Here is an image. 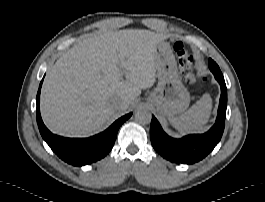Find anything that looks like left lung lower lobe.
Wrapping results in <instances>:
<instances>
[{"instance_id": "left-lung-lower-lobe-1", "label": "left lung lower lobe", "mask_w": 265, "mask_h": 202, "mask_svg": "<svg viewBox=\"0 0 265 202\" xmlns=\"http://www.w3.org/2000/svg\"><path fill=\"white\" fill-rule=\"evenodd\" d=\"M209 68L220 84L221 96L216 122L208 132L174 139L162 130L157 119L152 116L151 143L161 156L173 163L192 164L202 160L214 149L222 137L227 108V88L220 68L211 59H209Z\"/></svg>"}]
</instances>
